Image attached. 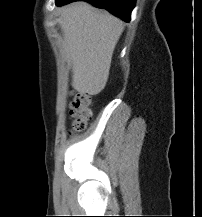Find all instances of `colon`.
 I'll return each mask as SVG.
<instances>
[{
	"label": "colon",
	"mask_w": 202,
	"mask_h": 217,
	"mask_svg": "<svg viewBox=\"0 0 202 217\" xmlns=\"http://www.w3.org/2000/svg\"><path fill=\"white\" fill-rule=\"evenodd\" d=\"M92 98L89 94L76 92L70 103V116L72 118V132H81L92 117Z\"/></svg>",
	"instance_id": "obj_1"
}]
</instances>
